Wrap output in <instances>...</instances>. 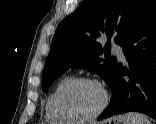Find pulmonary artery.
Here are the masks:
<instances>
[{
    "label": "pulmonary artery",
    "mask_w": 156,
    "mask_h": 124,
    "mask_svg": "<svg viewBox=\"0 0 156 124\" xmlns=\"http://www.w3.org/2000/svg\"><path fill=\"white\" fill-rule=\"evenodd\" d=\"M112 50H113V53L116 54L120 60L126 61L123 49L120 45L114 43L112 45Z\"/></svg>",
    "instance_id": "pulmonary-artery-1"
}]
</instances>
